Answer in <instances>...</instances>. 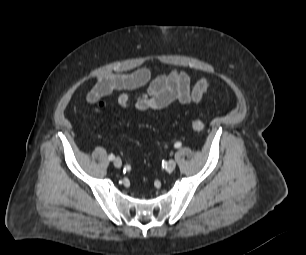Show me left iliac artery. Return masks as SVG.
Here are the masks:
<instances>
[{"mask_svg":"<svg viewBox=\"0 0 306 255\" xmlns=\"http://www.w3.org/2000/svg\"><path fill=\"white\" fill-rule=\"evenodd\" d=\"M174 147H175V148H180V147H181V142H176V143L174 144Z\"/></svg>","mask_w":306,"mask_h":255,"instance_id":"1","label":"left iliac artery"}]
</instances>
